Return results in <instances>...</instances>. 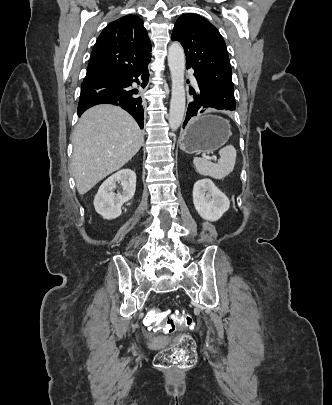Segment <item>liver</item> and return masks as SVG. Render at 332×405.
I'll list each match as a JSON object with an SVG mask.
<instances>
[{
	"label": "liver",
	"mask_w": 332,
	"mask_h": 405,
	"mask_svg": "<svg viewBox=\"0 0 332 405\" xmlns=\"http://www.w3.org/2000/svg\"><path fill=\"white\" fill-rule=\"evenodd\" d=\"M143 142L136 121L120 107L104 104L88 109L72 136L71 173L79 194L123 167Z\"/></svg>",
	"instance_id": "1"
}]
</instances>
